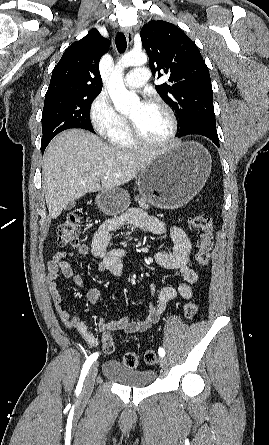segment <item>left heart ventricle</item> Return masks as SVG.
I'll list each match as a JSON object with an SVG mask.
<instances>
[{
    "label": "left heart ventricle",
    "instance_id": "left-heart-ventricle-1",
    "mask_svg": "<svg viewBox=\"0 0 269 445\" xmlns=\"http://www.w3.org/2000/svg\"><path fill=\"white\" fill-rule=\"evenodd\" d=\"M141 134L149 140H161L170 131V119L163 108L153 103L137 102L128 113Z\"/></svg>",
    "mask_w": 269,
    "mask_h": 445
}]
</instances>
